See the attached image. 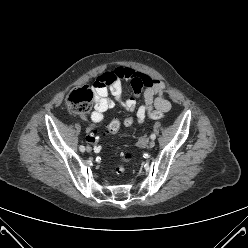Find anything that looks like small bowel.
I'll list each match as a JSON object with an SVG mask.
<instances>
[{"instance_id":"small-bowel-1","label":"small bowel","mask_w":248,"mask_h":248,"mask_svg":"<svg viewBox=\"0 0 248 248\" xmlns=\"http://www.w3.org/2000/svg\"><path fill=\"white\" fill-rule=\"evenodd\" d=\"M123 81L130 83L135 96L140 94L144 96V102L136 112L137 123L145 122L147 116L153 111L165 113L170 110L171 104L164 95L166 84L162 80L129 67L117 66L114 69L102 72L94 85L95 100L94 110L91 113V128L104 119L105 113L114 107L115 103L126 111L135 109V98H124L122 96L121 85ZM109 94L113 98L109 97Z\"/></svg>"}]
</instances>
